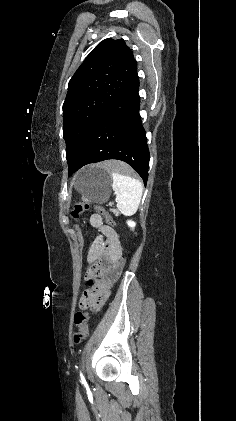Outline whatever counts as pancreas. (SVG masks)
Returning a JSON list of instances; mask_svg holds the SVG:
<instances>
[{
    "instance_id": "obj_1",
    "label": "pancreas",
    "mask_w": 236,
    "mask_h": 421,
    "mask_svg": "<svg viewBox=\"0 0 236 421\" xmlns=\"http://www.w3.org/2000/svg\"><path fill=\"white\" fill-rule=\"evenodd\" d=\"M111 213H114L115 217H118L119 213L116 211V208H110Z\"/></svg>"
}]
</instances>
